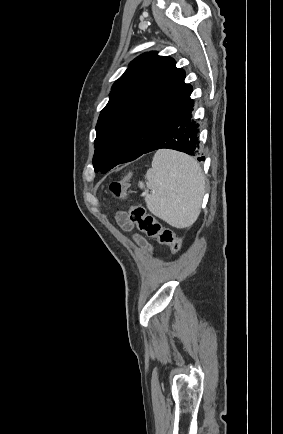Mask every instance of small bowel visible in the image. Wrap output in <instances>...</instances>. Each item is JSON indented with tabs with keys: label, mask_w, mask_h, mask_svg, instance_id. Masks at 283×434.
Listing matches in <instances>:
<instances>
[{
	"label": "small bowel",
	"mask_w": 283,
	"mask_h": 434,
	"mask_svg": "<svg viewBox=\"0 0 283 434\" xmlns=\"http://www.w3.org/2000/svg\"><path fill=\"white\" fill-rule=\"evenodd\" d=\"M117 222L120 225V227L126 231H131L133 229V223L130 222L128 216L126 213L124 212H119L117 214ZM134 239L136 240V242L142 246L145 249L151 250V246L150 244L147 242V240L145 238H143L141 235L139 234H135L134 235Z\"/></svg>",
	"instance_id": "obj_1"
}]
</instances>
